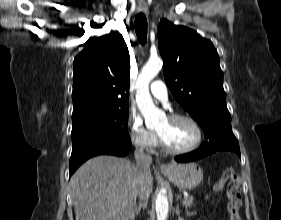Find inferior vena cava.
<instances>
[{
    "instance_id": "602c4592",
    "label": "inferior vena cava",
    "mask_w": 281,
    "mask_h": 220,
    "mask_svg": "<svg viewBox=\"0 0 281 220\" xmlns=\"http://www.w3.org/2000/svg\"><path fill=\"white\" fill-rule=\"evenodd\" d=\"M134 157L136 160V167L139 171V177L137 179V196L142 203L147 204L152 191V182L148 178L152 157L150 155H146L143 150L139 149L135 150Z\"/></svg>"
}]
</instances>
